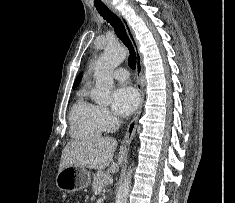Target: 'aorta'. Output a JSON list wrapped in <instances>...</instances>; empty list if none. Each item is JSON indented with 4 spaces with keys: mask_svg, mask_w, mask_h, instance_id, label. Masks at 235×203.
<instances>
[{
    "mask_svg": "<svg viewBox=\"0 0 235 203\" xmlns=\"http://www.w3.org/2000/svg\"><path fill=\"white\" fill-rule=\"evenodd\" d=\"M127 56V50L118 43L109 44L95 64L94 78L96 87L92 93L94 101L101 105H108L110 92L113 88L112 73ZM131 167L127 176L120 185L115 203H127L128 194L131 188Z\"/></svg>",
    "mask_w": 235,
    "mask_h": 203,
    "instance_id": "aorta-1",
    "label": "aorta"
}]
</instances>
